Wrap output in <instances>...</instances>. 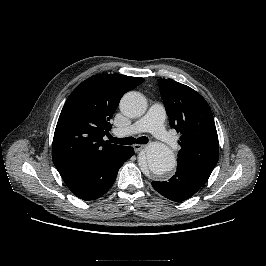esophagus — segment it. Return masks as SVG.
I'll return each instance as SVG.
<instances>
[{"label": "esophagus", "instance_id": "34e87169", "mask_svg": "<svg viewBox=\"0 0 266 266\" xmlns=\"http://www.w3.org/2000/svg\"><path fill=\"white\" fill-rule=\"evenodd\" d=\"M145 146L144 145H140V144H135L133 145V148L135 150V152H139L140 150H142Z\"/></svg>", "mask_w": 266, "mask_h": 266}]
</instances>
